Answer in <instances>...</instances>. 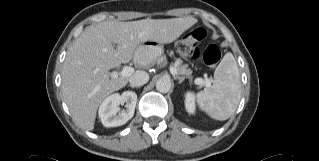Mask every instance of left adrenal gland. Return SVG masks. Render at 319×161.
<instances>
[{
  "label": "left adrenal gland",
  "instance_id": "a2214340",
  "mask_svg": "<svg viewBox=\"0 0 319 161\" xmlns=\"http://www.w3.org/2000/svg\"><path fill=\"white\" fill-rule=\"evenodd\" d=\"M175 79H178L179 80V83H182L184 81V77H179V76H175L174 77Z\"/></svg>",
  "mask_w": 319,
  "mask_h": 161
}]
</instances>
